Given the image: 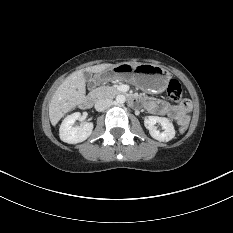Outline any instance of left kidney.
Returning <instances> with one entry per match:
<instances>
[{
	"instance_id": "1",
	"label": "left kidney",
	"mask_w": 233,
	"mask_h": 233,
	"mask_svg": "<svg viewBox=\"0 0 233 233\" xmlns=\"http://www.w3.org/2000/svg\"><path fill=\"white\" fill-rule=\"evenodd\" d=\"M159 123L164 130L160 132L156 129L155 124ZM144 125L149 130L151 137L158 141L168 142L175 137V129L172 122L165 117L147 116L144 119Z\"/></svg>"
}]
</instances>
